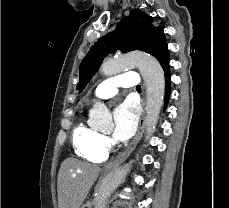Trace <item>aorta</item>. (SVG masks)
Returning a JSON list of instances; mask_svg holds the SVG:
<instances>
[{
	"label": "aorta",
	"mask_w": 229,
	"mask_h": 208,
	"mask_svg": "<svg viewBox=\"0 0 229 208\" xmlns=\"http://www.w3.org/2000/svg\"><path fill=\"white\" fill-rule=\"evenodd\" d=\"M138 67L146 85V133L154 132L163 105L165 92L164 72L159 62L144 53H131L117 59H109L101 65L104 75H115L127 69ZM90 124L95 129H107L112 125V116L104 103L96 102L89 112ZM130 165L126 164L109 173L99 186L94 208H105L112 192L121 184Z\"/></svg>",
	"instance_id": "aorta-1"
}]
</instances>
